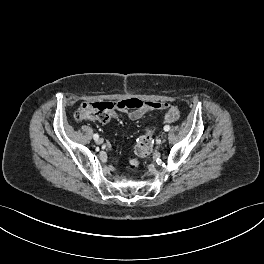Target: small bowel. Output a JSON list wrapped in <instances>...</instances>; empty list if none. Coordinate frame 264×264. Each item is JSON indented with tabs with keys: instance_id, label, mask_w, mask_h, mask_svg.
Listing matches in <instances>:
<instances>
[{
	"instance_id": "c3829d8e",
	"label": "small bowel",
	"mask_w": 264,
	"mask_h": 264,
	"mask_svg": "<svg viewBox=\"0 0 264 264\" xmlns=\"http://www.w3.org/2000/svg\"><path fill=\"white\" fill-rule=\"evenodd\" d=\"M130 103L128 107L120 108L124 112H128V116L132 120H139L147 113L155 110H166L165 122H175L180 116L179 109L166 102L141 101L137 98L125 100Z\"/></svg>"
}]
</instances>
